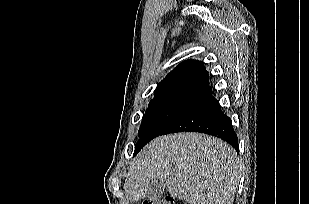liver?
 I'll return each instance as SVG.
<instances>
[{
	"label": "liver",
	"mask_w": 309,
	"mask_h": 204,
	"mask_svg": "<svg viewBox=\"0 0 309 204\" xmlns=\"http://www.w3.org/2000/svg\"><path fill=\"white\" fill-rule=\"evenodd\" d=\"M241 165L224 141L199 133L155 138L138 154L128 171L124 189L130 201L148 196L153 179L189 204H232Z\"/></svg>",
	"instance_id": "1"
}]
</instances>
